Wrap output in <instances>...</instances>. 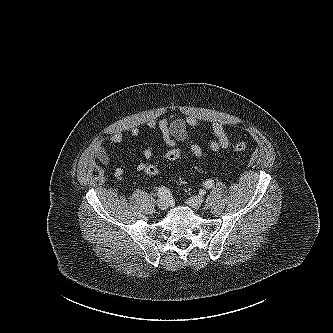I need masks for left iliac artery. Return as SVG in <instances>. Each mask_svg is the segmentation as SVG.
Listing matches in <instances>:
<instances>
[{"label":"left iliac artery","instance_id":"obj_1","mask_svg":"<svg viewBox=\"0 0 333 333\" xmlns=\"http://www.w3.org/2000/svg\"><path fill=\"white\" fill-rule=\"evenodd\" d=\"M213 185H214V181H213V180L208 179V180L205 182V187L208 188V189H209V188H212Z\"/></svg>","mask_w":333,"mask_h":333}]
</instances>
